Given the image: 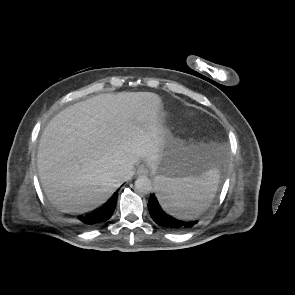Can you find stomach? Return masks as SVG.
Returning a JSON list of instances; mask_svg holds the SVG:
<instances>
[{
    "label": "stomach",
    "instance_id": "obj_1",
    "mask_svg": "<svg viewBox=\"0 0 295 295\" xmlns=\"http://www.w3.org/2000/svg\"><path fill=\"white\" fill-rule=\"evenodd\" d=\"M211 154L205 144L177 141L172 134L166 138L154 175L166 178L203 176L211 167Z\"/></svg>",
    "mask_w": 295,
    "mask_h": 295
}]
</instances>
